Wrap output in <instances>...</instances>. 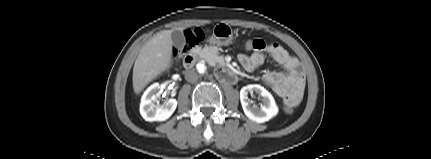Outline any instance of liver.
Listing matches in <instances>:
<instances>
[{"label":"liver","mask_w":431,"mask_h":159,"mask_svg":"<svg viewBox=\"0 0 431 159\" xmlns=\"http://www.w3.org/2000/svg\"><path fill=\"white\" fill-rule=\"evenodd\" d=\"M172 32L173 30H163L142 47L133 68V89L136 94L170 68L173 55Z\"/></svg>","instance_id":"6515ba94"}]
</instances>
